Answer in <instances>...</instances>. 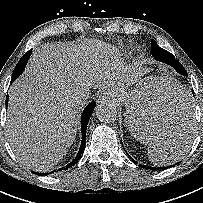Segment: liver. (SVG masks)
I'll list each match as a JSON object with an SVG mask.
<instances>
[{"label": "liver", "instance_id": "obj_1", "mask_svg": "<svg viewBox=\"0 0 203 203\" xmlns=\"http://www.w3.org/2000/svg\"><path fill=\"white\" fill-rule=\"evenodd\" d=\"M108 51L107 44L94 40L45 43L33 51L24 74L10 87L6 121L10 145L24 165L46 172L68 152L86 101L78 102L79 95L89 97L91 89L111 98L124 93L126 69L110 60ZM190 119L165 112L148 134L162 143L181 134L183 126L189 132Z\"/></svg>", "mask_w": 203, "mask_h": 203}]
</instances>
